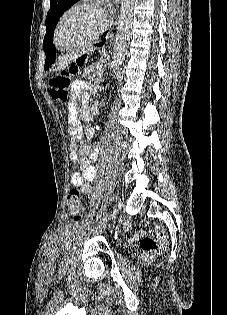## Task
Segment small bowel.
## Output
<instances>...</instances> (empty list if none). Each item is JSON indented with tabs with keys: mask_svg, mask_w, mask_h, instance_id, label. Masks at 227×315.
<instances>
[{
	"mask_svg": "<svg viewBox=\"0 0 227 315\" xmlns=\"http://www.w3.org/2000/svg\"><path fill=\"white\" fill-rule=\"evenodd\" d=\"M91 85L82 80L74 81L72 85V102L70 104V133L71 138L69 142L70 159L73 163L80 167V171H76L71 175V184L80 188L81 192L85 195H89L92 191L90 182L96 177V169L92 165L91 161L95 158V154H89L90 149L88 145L79 147V139L81 136V128L77 118L78 106L77 100L81 98L83 101L89 99V93Z\"/></svg>",
	"mask_w": 227,
	"mask_h": 315,
	"instance_id": "small-bowel-1",
	"label": "small bowel"
}]
</instances>
